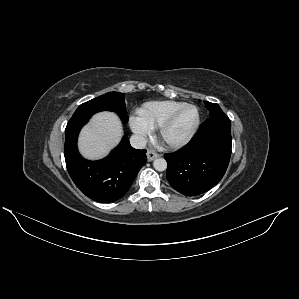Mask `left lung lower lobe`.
<instances>
[{
    "label": "left lung lower lobe",
    "mask_w": 299,
    "mask_h": 299,
    "mask_svg": "<svg viewBox=\"0 0 299 299\" xmlns=\"http://www.w3.org/2000/svg\"><path fill=\"white\" fill-rule=\"evenodd\" d=\"M231 145L229 118L226 115L209 117L185 147L164 155L170 185L186 196L208 191L224 176Z\"/></svg>",
    "instance_id": "obj_1"
}]
</instances>
